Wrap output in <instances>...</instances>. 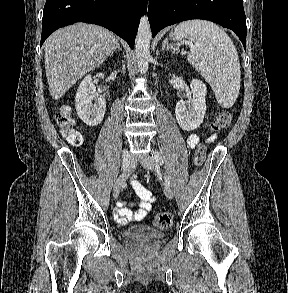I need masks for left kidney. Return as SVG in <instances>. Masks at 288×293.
Here are the masks:
<instances>
[{"instance_id": "1", "label": "left kidney", "mask_w": 288, "mask_h": 293, "mask_svg": "<svg viewBox=\"0 0 288 293\" xmlns=\"http://www.w3.org/2000/svg\"><path fill=\"white\" fill-rule=\"evenodd\" d=\"M190 88L193 98L188 101L180 100L175 107L176 120L179 126L186 131L198 128L203 122L206 112V85L198 79H193Z\"/></svg>"}]
</instances>
